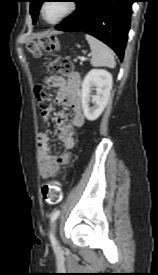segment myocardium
<instances>
[{
    "instance_id": "f54148a6",
    "label": "myocardium",
    "mask_w": 158,
    "mask_h": 275,
    "mask_svg": "<svg viewBox=\"0 0 158 275\" xmlns=\"http://www.w3.org/2000/svg\"><path fill=\"white\" fill-rule=\"evenodd\" d=\"M66 2L68 4V8H67L66 12L55 20H47L45 18L44 8H45L46 4L48 3V1H45L44 3H42V5L40 7V15H41L42 19L49 24H57V23L61 22L62 20H64L65 18L69 17L71 14H73L76 11L77 3L74 0H68Z\"/></svg>"
}]
</instances>
